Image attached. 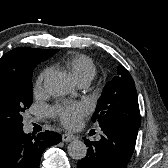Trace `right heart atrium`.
<instances>
[{
  "instance_id": "obj_1",
  "label": "right heart atrium",
  "mask_w": 168,
  "mask_h": 168,
  "mask_svg": "<svg viewBox=\"0 0 168 168\" xmlns=\"http://www.w3.org/2000/svg\"><path fill=\"white\" fill-rule=\"evenodd\" d=\"M49 74V69H45L44 71H42L40 73V75L38 76L37 80H36V83H35V92L38 93L42 90V87H43V82L46 78V76Z\"/></svg>"
}]
</instances>
